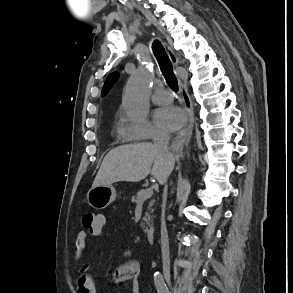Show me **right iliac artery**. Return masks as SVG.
Returning <instances> with one entry per match:
<instances>
[{"label":"right iliac artery","mask_w":293,"mask_h":293,"mask_svg":"<svg viewBox=\"0 0 293 293\" xmlns=\"http://www.w3.org/2000/svg\"><path fill=\"white\" fill-rule=\"evenodd\" d=\"M154 283L158 293H169V290L164 282V279L159 272L154 273Z\"/></svg>","instance_id":"1"}]
</instances>
